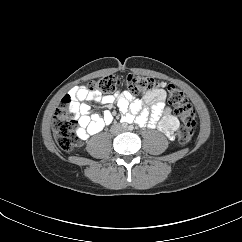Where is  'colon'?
Here are the masks:
<instances>
[{"label": "colon", "mask_w": 242, "mask_h": 242, "mask_svg": "<svg viewBox=\"0 0 242 242\" xmlns=\"http://www.w3.org/2000/svg\"><path fill=\"white\" fill-rule=\"evenodd\" d=\"M123 82L130 92L135 95L148 93L159 84H164L153 78L131 73L123 81L116 75L100 77L90 81L86 89L108 95L115 92L117 87ZM167 90L169 104L173 106L174 113L180 117L183 123L178 133V142L180 145L185 146L192 139L196 125V113L192 104L180 89L174 85H168ZM72 99L71 94H66L62 97L61 104L56 108L53 119L54 138L58 146L66 152L73 151L78 144L74 129L77 121L75 118L68 116L66 112V106Z\"/></svg>", "instance_id": "colon-1"}]
</instances>
